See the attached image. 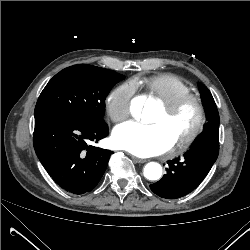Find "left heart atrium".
I'll return each instance as SVG.
<instances>
[{"label":"left heart atrium","mask_w":250,"mask_h":250,"mask_svg":"<svg viewBox=\"0 0 250 250\" xmlns=\"http://www.w3.org/2000/svg\"><path fill=\"white\" fill-rule=\"evenodd\" d=\"M112 143L136 156L148 157L166 152L175 141L162 125L128 121L114 129Z\"/></svg>","instance_id":"1"}]
</instances>
